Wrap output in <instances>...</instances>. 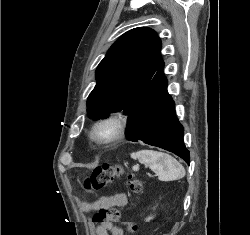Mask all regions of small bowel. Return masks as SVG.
I'll return each mask as SVG.
<instances>
[{"instance_id": "small-bowel-1", "label": "small bowel", "mask_w": 250, "mask_h": 235, "mask_svg": "<svg viewBox=\"0 0 250 235\" xmlns=\"http://www.w3.org/2000/svg\"><path fill=\"white\" fill-rule=\"evenodd\" d=\"M128 203V197L125 193H117L111 196L102 197L92 205H87L85 210L91 211L106 207H125ZM94 222V221H93ZM96 235H123V230L114 224H98L95 228Z\"/></svg>"}]
</instances>
